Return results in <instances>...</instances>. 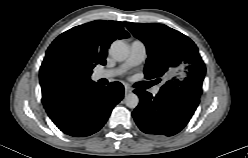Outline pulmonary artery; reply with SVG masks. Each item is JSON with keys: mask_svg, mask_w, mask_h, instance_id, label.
I'll list each match as a JSON object with an SVG mask.
<instances>
[{"mask_svg": "<svg viewBox=\"0 0 248 158\" xmlns=\"http://www.w3.org/2000/svg\"><path fill=\"white\" fill-rule=\"evenodd\" d=\"M147 49L145 44L140 40H134L129 45V56L127 60L120 66L113 69H100L94 73V78L99 79H112L128 69L140 65L146 58ZM157 90H154L156 93Z\"/></svg>", "mask_w": 248, "mask_h": 158, "instance_id": "obj_1", "label": "pulmonary artery"}]
</instances>
